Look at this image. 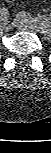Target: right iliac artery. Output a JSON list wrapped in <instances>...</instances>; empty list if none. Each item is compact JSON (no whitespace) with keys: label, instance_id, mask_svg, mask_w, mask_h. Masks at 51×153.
Returning <instances> with one entry per match:
<instances>
[{"label":"right iliac artery","instance_id":"right-iliac-artery-1","mask_svg":"<svg viewBox=\"0 0 51 153\" xmlns=\"http://www.w3.org/2000/svg\"><path fill=\"white\" fill-rule=\"evenodd\" d=\"M8 18V9L3 7L0 9V19L1 21H6Z\"/></svg>","mask_w":51,"mask_h":153}]
</instances>
